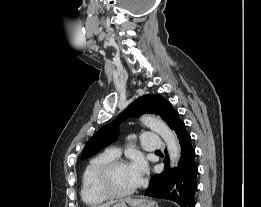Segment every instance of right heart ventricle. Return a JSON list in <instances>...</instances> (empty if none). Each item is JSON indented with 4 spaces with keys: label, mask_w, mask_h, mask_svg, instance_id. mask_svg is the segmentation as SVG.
I'll use <instances>...</instances> for the list:
<instances>
[{
    "label": "right heart ventricle",
    "mask_w": 261,
    "mask_h": 207,
    "mask_svg": "<svg viewBox=\"0 0 261 207\" xmlns=\"http://www.w3.org/2000/svg\"><path fill=\"white\" fill-rule=\"evenodd\" d=\"M115 159L108 152H104L92 158L85 166L81 178V197L90 206L99 205L107 200L101 193L97 184V177L101 168Z\"/></svg>",
    "instance_id": "1"
}]
</instances>
